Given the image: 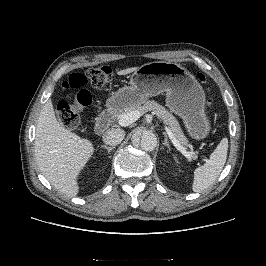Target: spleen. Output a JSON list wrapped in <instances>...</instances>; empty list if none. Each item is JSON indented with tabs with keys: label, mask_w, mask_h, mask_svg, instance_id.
Returning a JSON list of instances; mask_svg holds the SVG:
<instances>
[{
	"label": "spleen",
	"mask_w": 266,
	"mask_h": 266,
	"mask_svg": "<svg viewBox=\"0 0 266 266\" xmlns=\"http://www.w3.org/2000/svg\"><path fill=\"white\" fill-rule=\"evenodd\" d=\"M227 150L228 139L223 138L210 155L209 160L195 169L192 185L194 192H202L216 181L226 163Z\"/></svg>",
	"instance_id": "obj_1"
}]
</instances>
